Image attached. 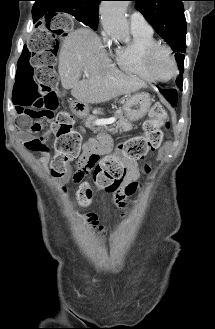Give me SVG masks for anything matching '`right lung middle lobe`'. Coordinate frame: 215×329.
<instances>
[{"label":"right lung middle lobe","mask_w":215,"mask_h":329,"mask_svg":"<svg viewBox=\"0 0 215 329\" xmlns=\"http://www.w3.org/2000/svg\"><path fill=\"white\" fill-rule=\"evenodd\" d=\"M63 9V13H68L73 15L78 21L84 23L85 25L90 26L93 30H96L98 22L97 21H90L88 19L85 18V16L83 15L82 10H75L72 9L71 7H64Z\"/></svg>","instance_id":"obj_1"}]
</instances>
